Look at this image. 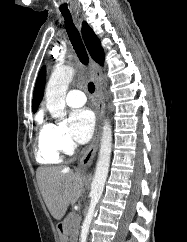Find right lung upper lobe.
I'll list each match as a JSON object with an SVG mask.
<instances>
[{
	"mask_svg": "<svg viewBox=\"0 0 187 242\" xmlns=\"http://www.w3.org/2000/svg\"><path fill=\"white\" fill-rule=\"evenodd\" d=\"M82 36L86 44V47L91 57L93 58V60L102 65L104 62V52L100 46V41L96 37L93 30L89 27V25L85 21L82 24ZM45 77H46V70H45V67H43L39 73L35 90H34L33 111L36 110V108L38 107V105L40 104L43 98L44 87H45Z\"/></svg>",
	"mask_w": 187,
	"mask_h": 242,
	"instance_id": "cb5924a9",
	"label": "right lung upper lobe"
}]
</instances>
